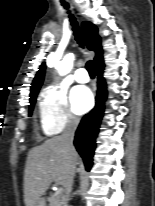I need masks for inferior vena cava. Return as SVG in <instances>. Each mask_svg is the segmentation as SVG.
<instances>
[{
	"label": "inferior vena cava",
	"instance_id": "602c4592",
	"mask_svg": "<svg viewBox=\"0 0 155 206\" xmlns=\"http://www.w3.org/2000/svg\"><path fill=\"white\" fill-rule=\"evenodd\" d=\"M78 120L74 117H69L64 132L62 134V140L65 146L66 151L71 155L74 153L75 149L73 146V139L75 131L78 127ZM75 167L71 166L70 177L65 185L66 194L69 195L72 189L73 177H74Z\"/></svg>",
	"mask_w": 155,
	"mask_h": 206
}]
</instances>
